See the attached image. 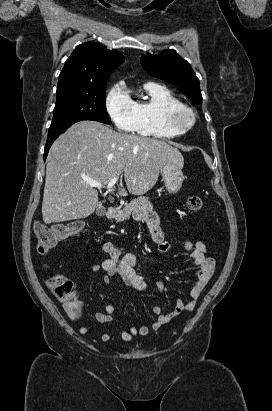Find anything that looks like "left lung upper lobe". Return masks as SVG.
I'll return each instance as SVG.
<instances>
[{
    "mask_svg": "<svg viewBox=\"0 0 272 411\" xmlns=\"http://www.w3.org/2000/svg\"><path fill=\"white\" fill-rule=\"evenodd\" d=\"M140 61L147 73L171 83L196 104H201L199 79L190 64L175 50L167 49L157 55L147 54Z\"/></svg>",
    "mask_w": 272,
    "mask_h": 411,
    "instance_id": "left-lung-upper-lobe-1",
    "label": "left lung upper lobe"
}]
</instances>
